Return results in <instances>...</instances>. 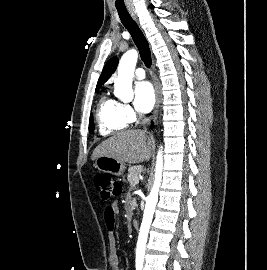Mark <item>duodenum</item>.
I'll list each match as a JSON object with an SVG mask.
<instances>
[{
    "mask_svg": "<svg viewBox=\"0 0 267 270\" xmlns=\"http://www.w3.org/2000/svg\"><path fill=\"white\" fill-rule=\"evenodd\" d=\"M132 225H133V227H134L135 229H138V227H139V221L136 220V219H134V220L132 221Z\"/></svg>",
    "mask_w": 267,
    "mask_h": 270,
    "instance_id": "1",
    "label": "duodenum"
}]
</instances>
